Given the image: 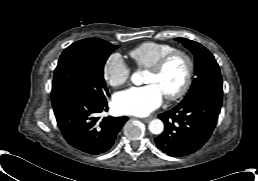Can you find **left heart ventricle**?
Masks as SVG:
<instances>
[{"mask_svg": "<svg viewBox=\"0 0 258 181\" xmlns=\"http://www.w3.org/2000/svg\"><path fill=\"white\" fill-rule=\"evenodd\" d=\"M186 75V62L181 57L173 58L161 73L148 71L145 77V83L157 85L161 91L172 93L178 90Z\"/></svg>", "mask_w": 258, "mask_h": 181, "instance_id": "obj_1", "label": "left heart ventricle"}]
</instances>
